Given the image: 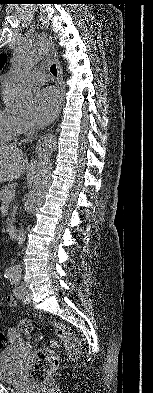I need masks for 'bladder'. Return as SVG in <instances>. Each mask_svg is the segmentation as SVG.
<instances>
[{
	"label": "bladder",
	"mask_w": 153,
	"mask_h": 393,
	"mask_svg": "<svg viewBox=\"0 0 153 393\" xmlns=\"http://www.w3.org/2000/svg\"><path fill=\"white\" fill-rule=\"evenodd\" d=\"M22 366L16 360V351L13 347L0 350V381L17 384L20 382Z\"/></svg>",
	"instance_id": "obj_1"
}]
</instances>
